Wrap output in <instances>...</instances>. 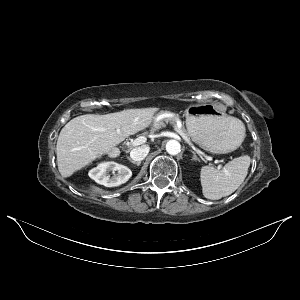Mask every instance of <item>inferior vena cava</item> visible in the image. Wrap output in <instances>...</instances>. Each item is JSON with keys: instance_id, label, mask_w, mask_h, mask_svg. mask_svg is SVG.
<instances>
[{"instance_id": "inferior-vena-cava-1", "label": "inferior vena cava", "mask_w": 300, "mask_h": 300, "mask_svg": "<svg viewBox=\"0 0 300 300\" xmlns=\"http://www.w3.org/2000/svg\"><path fill=\"white\" fill-rule=\"evenodd\" d=\"M150 151L149 146L147 145H143L141 147H137L134 148L133 150H131L130 152V157L134 160V161H142L145 159V157L148 155Z\"/></svg>"}]
</instances>
